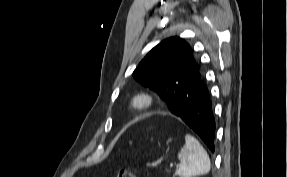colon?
Returning <instances> with one entry per match:
<instances>
[{"mask_svg":"<svg viewBox=\"0 0 287 177\" xmlns=\"http://www.w3.org/2000/svg\"><path fill=\"white\" fill-rule=\"evenodd\" d=\"M116 177H136V175L128 169L120 168L116 172Z\"/></svg>","mask_w":287,"mask_h":177,"instance_id":"1","label":"colon"}]
</instances>
